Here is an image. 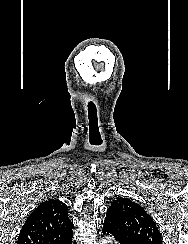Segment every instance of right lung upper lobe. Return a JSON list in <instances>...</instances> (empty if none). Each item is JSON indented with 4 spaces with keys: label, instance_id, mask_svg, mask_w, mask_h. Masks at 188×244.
Masks as SVG:
<instances>
[{
    "label": "right lung upper lobe",
    "instance_id": "obj_1",
    "mask_svg": "<svg viewBox=\"0 0 188 244\" xmlns=\"http://www.w3.org/2000/svg\"><path fill=\"white\" fill-rule=\"evenodd\" d=\"M72 226L63 202L45 201L27 217L17 244H52L72 232Z\"/></svg>",
    "mask_w": 188,
    "mask_h": 244
}]
</instances>
